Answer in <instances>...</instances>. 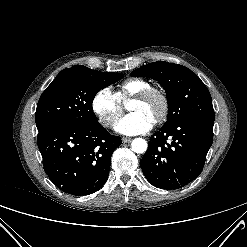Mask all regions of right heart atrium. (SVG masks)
Returning <instances> with one entry per match:
<instances>
[{
    "mask_svg": "<svg viewBox=\"0 0 247 247\" xmlns=\"http://www.w3.org/2000/svg\"><path fill=\"white\" fill-rule=\"evenodd\" d=\"M91 108L104 127H111L123 112L121 102L108 88H102L95 93Z\"/></svg>",
    "mask_w": 247,
    "mask_h": 247,
    "instance_id": "1",
    "label": "right heart atrium"
}]
</instances>
